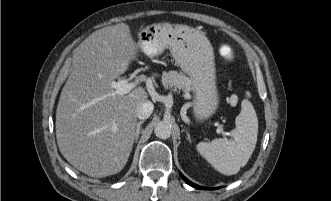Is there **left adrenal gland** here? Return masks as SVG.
<instances>
[{"label": "left adrenal gland", "mask_w": 331, "mask_h": 201, "mask_svg": "<svg viewBox=\"0 0 331 201\" xmlns=\"http://www.w3.org/2000/svg\"><path fill=\"white\" fill-rule=\"evenodd\" d=\"M186 133H187V139L191 142L190 134L187 130H186Z\"/></svg>", "instance_id": "obj_1"}]
</instances>
